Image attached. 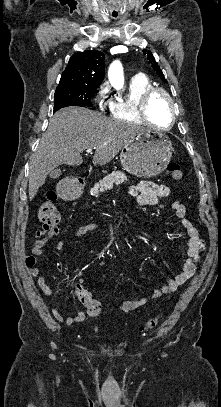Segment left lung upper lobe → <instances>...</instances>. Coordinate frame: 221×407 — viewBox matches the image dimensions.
<instances>
[{
  "instance_id": "obj_1",
  "label": "left lung upper lobe",
  "mask_w": 221,
  "mask_h": 407,
  "mask_svg": "<svg viewBox=\"0 0 221 407\" xmlns=\"http://www.w3.org/2000/svg\"><path fill=\"white\" fill-rule=\"evenodd\" d=\"M143 53L146 54L147 60L149 61L151 66L154 68V70L156 71L158 76L161 78V80L164 81V82H167V80L165 79V77H164V75L162 73V70L160 69L159 65L155 61V58L153 57V54L149 50H146V49L143 50Z\"/></svg>"
}]
</instances>
